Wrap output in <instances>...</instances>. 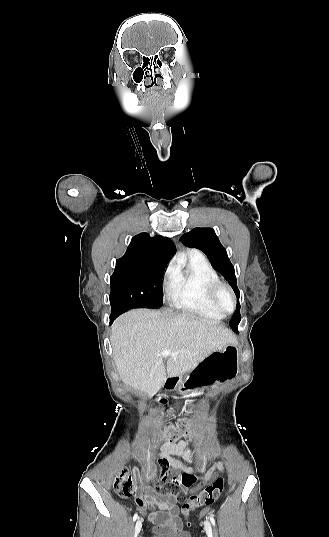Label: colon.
<instances>
[{
    "label": "colon",
    "instance_id": "colon-1",
    "mask_svg": "<svg viewBox=\"0 0 329 537\" xmlns=\"http://www.w3.org/2000/svg\"><path fill=\"white\" fill-rule=\"evenodd\" d=\"M167 400L163 399L162 404L166 405ZM171 409V408H169ZM174 412H167L165 414ZM192 432L188 422H180L177 426H166L159 433V439L172 443L180 437L191 438ZM113 489L122 497L127 498L133 493L138 494L141 488L137 485L135 477L130 470L124 469L115 477L112 483ZM224 488L223 478L216 479L210 486L206 487L199 494L193 495L189 501L181 506L184 516L189 517L197 508L209 505L219 498ZM190 526V523H186Z\"/></svg>",
    "mask_w": 329,
    "mask_h": 537
}]
</instances>
